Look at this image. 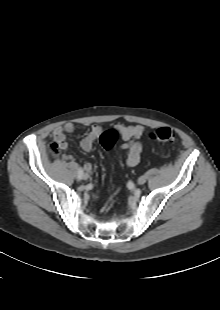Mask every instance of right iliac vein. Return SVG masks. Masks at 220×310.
Returning a JSON list of instances; mask_svg holds the SVG:
<instances>
[{
    "mask_svg": "<svg viewBox=\"0 0 220 310\" xmlns=\"http://www.w3.org/2000/svg\"><path fill=\"white\" fill-rule=\"evenodd\" d=\"M89 178V175L87 173H84L83 176H82V179L83 180H87Z\"/></svg>",
    "mask_w": 220,
    "mask_h": 310,
    "instance_id": "1",
    "label": "right iliac vein"
}]
</instances>
